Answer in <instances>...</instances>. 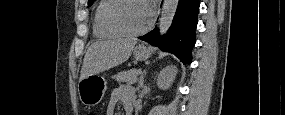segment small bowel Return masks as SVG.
<instances>
[{
  "label": "small bowel",
  "instance_id": "1",
  "mask_svg": "<svg viewBox=\"0 0 285 115\" xmlns=\"http://www.w3.org/2000/svg\"><path fill=\"white\" fill-rule=\"evenodd\" d=\"M132 100L133 95L128 89L116 88L111 94L110 100L107 105L106 114L114 115L115 108L119 102L123 105L126 111H128L127 114H130L129 111H131L132 109Z\"/></svg>",
  "mask_w": 285,
  "mask_h": 115
}]
</instances>
